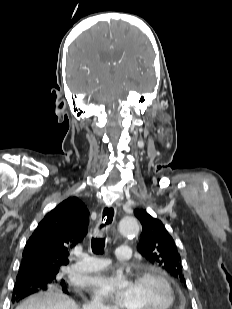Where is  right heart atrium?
Wrapping results in <instances>:
<instances>
[{
  "mask_svg": "<svg viewBox=\"0 0 232 309\" xmlns=\"http://www.w3.org/2000/svg\"><path fill=\"white\" fill-rule=\"evenodd\" d=\"M89 307H90V309H113L112 307L107 306L104 303H102L97 298H93L91 300V302L89 303Z\"/></svg>",
  "mask_w": 232,
  "mask_h": 309,
  "instance_id": "d8ad5b80",
  "label": "right heart atrium"
}]
</instances>
